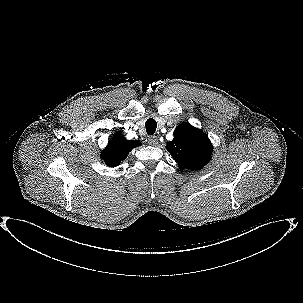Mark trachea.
Wrapping results in <instances>:
<instances>
[{
    "mask_svg": "<svg viewBox=\"0 0 303 303\" xmlns=\"http://www.w3.org/2000/svg\"><path fill=\"white\" fill-rule=\"evenodd\" d=\"M145 127H146L147 134L148 135H153L156 131L157 123L154 119L149 118L145 123Z\"/></svg>",
    "mask_w": 303,
    "mask_h": 303,
    "instance_id": "obj_1",
    "label": "trachea"
}]
</instances>
